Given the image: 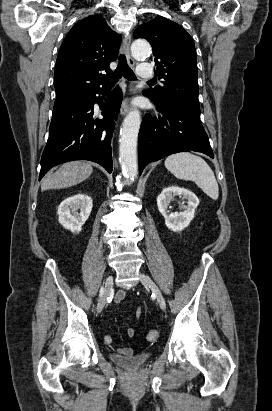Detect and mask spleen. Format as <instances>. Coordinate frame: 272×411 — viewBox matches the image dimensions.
<instances>
[{
  "label": "spleen",
  "instance_id": "obj_1",
  "mask_svg": "<svg viewBox=\"0 0 272 411\" xmlns=\"http://www.w3.org/2000/svg\"><path fill=\"white\" fill-rule=\"evenodd\" d=\"M165 167L176 178L193 181L211 199H218L219 188L215 175L201 157L189 152L176 153L166 158Z\"/></svg>",
  "mask_w": 272,
  "mask_h": 411
}]
</instances>
